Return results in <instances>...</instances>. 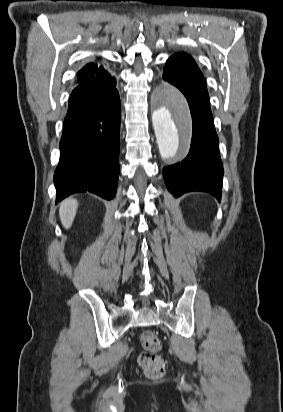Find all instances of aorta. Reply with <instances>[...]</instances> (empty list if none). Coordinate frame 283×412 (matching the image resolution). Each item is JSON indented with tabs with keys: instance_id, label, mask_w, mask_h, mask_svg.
<instances>
[{
	"instance_id": "1",
	"label": "aorta",
	"mask_w": 283,
	"mask_h": 412,
	"mask_svg": "<svg viewBox=\"0 0 283 412\" xmlns=\"http://www.w3.org/2000/svg\"><path fill=\"white\" fill-rule=\"evenodd\" d=\"M159 103L152 115L159 151L163 158H173L190 133L188 105L184 96L171 86L162 89Z\"/></svg>"
}]
</instances>
